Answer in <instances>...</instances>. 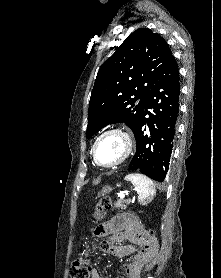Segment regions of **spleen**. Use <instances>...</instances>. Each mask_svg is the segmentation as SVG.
Instances as JSON below:
<instances>
[{
	"mask_svg": "<svg viewBox=\"0 0 221 278\" xmlns=\"http://www.w3.org/2000/svg\"><path fill=\"white\" fill-rule=\"evenodd\" d=\"M125 179L138 188V201L140 204H146L156 194V188L153 181L143 174H128Z\"/></svg>",
	"mask_w": 221,
	"mask_h": 278,
	"instance_id": "spleen-1",
	"label": "spleen"
}]
</instances>
